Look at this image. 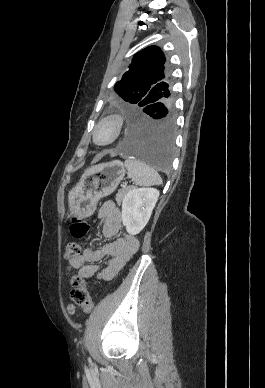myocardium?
Segmentation results:
<instances>
[{
    "label": "myocardium",
    "mask_w": 265,
    "mask_h": 388,
    "mask_svg": "<svg viewBox=\"0 0 265 388\" xmlns=\"http://www.w3.org/2000/svg\"><path fill=\"white\" fill-rule=\"evenodd\" d=\"M123 128V118L118 114H110L101 119L96 127L97 131L105 133L99 145H108L117 140Z\"/></svg>",
    "instance_id": "f54148a6"
}]
</instances>
